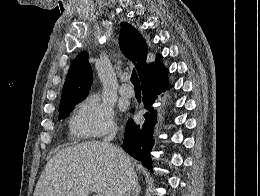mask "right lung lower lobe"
<instances>
[{
	"label": "right lung lower lobe",
	"mask_w": 260,
	"mask_h": 196,
	"mask_svg": "<svg viewBox=\"0 0 260 196\" xmlns=\"http://www.w3.org/2000/svg\"><path fill=\"white\" fill-rule=\"evenodd\" d=\"M168 71L158 78L146 80L142 83V101L147 112L143 115L145 122L142 125H136L132 119L128 120L125 137L123 142V149L133 156L135 159L142 162L143 165L151 168L150 151L154 143L152 134L156 121V112L152 108L157 95L161 91L169 88L167 82Z\"/></svg>",
	"instance_id": "98d812e1"
}]
</instances>
